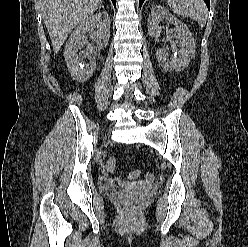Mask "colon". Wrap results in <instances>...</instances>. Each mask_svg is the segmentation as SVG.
<instances>
[{
    "instance_id": "colon-1",
    "label": "colon",
    "mask_w": 248,
    "mask_h": 247,
    "mask_svg": "<svg viewBox=\"0 0 248 247\" xmlns=\"http://www.w3.org/2000/svg\"><path fill=\"white\" fill-rule=\"evenodd\" d=\"M116 166H117V162L114 158H109L108 161H107V169L110 170V171H113L116 169ZM141 175V172L140 171H132L130 174H129V178L131 179H135V178H138L139 176ZM146 178L148 180H153L154 178V175L152 173H146ZM125 205L127 207H131L132 206V203L129 202V201H126L125 202Z\"/></svg>"
}]
</instances>
